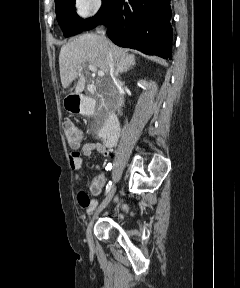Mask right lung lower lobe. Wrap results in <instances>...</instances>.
Masks as SVG:
<instances>
[{
	"label": "right lung lower lobe",
	"instance_id": "98d812e1",
	"mask_svg": "<svg viewBox=\"0 0 240 288\" xmlns=\"http://www.w3.org/2000/svg\"><path fill=\"white\" fill-rule=\"evenodd\" d=\"M170 18V0H108L85 30L103 23L118 46L172 59Z\"/></svg>",
	"mask_w": 240,
	"mask_h": 288
}]
</instances>
